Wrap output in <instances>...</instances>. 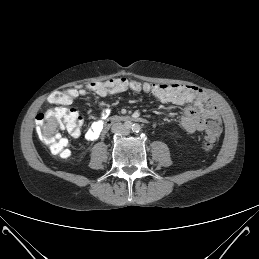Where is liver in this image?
<instances>
[{"instance_id": "6515ba94", "label": "liver", "mask_w": 259, "mask_h": 259, "mask_svg": "<svg viewBox=\"0 0 259 259\" xmlns=\"http://www.w3.org/2000/svg\"><path fill=\"white\" fill-rule=\"evenodd\" d=\"M58 124L54 118L48 120L44 135L48 138L52 137L56 131Z\"/></svg>"}]
</instances>
